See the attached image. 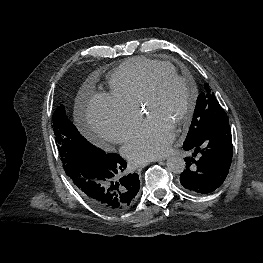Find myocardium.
I'll use <instances>...</instances> for the list:
<instances>
[{
  "label": "myocardium",
  "instance_id": "myocardium-1",
  "mask_svg": "<svg viewBox=\"0 0 263 263\" xmlns=\"http://www.w3.org/2000/svg\"><path fill=\"white\" fill-rule=\"evenodd\" d=\"M168 80H175L180 82L181 84H183L189 94L188 105L175 123V128H181L186 125L192 118L198 102V91L196 87L190 82V80L185 76H182L177 72H160L156 74L145 89L140 100L139 107L141 109H144L146 104L149 103L157 95L161 85Z\"/></svg>",
  "mask_w": 263,
  "mask_h": 263
}]
</instances>
